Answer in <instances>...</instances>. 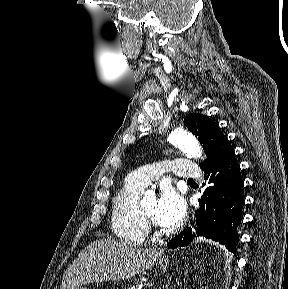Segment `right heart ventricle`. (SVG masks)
I'll list each match as a JSON object with an SVG mask.
<instances>
[{"label":"right heart ventricle","instance_id":"1","mask_svg":"<svg viewBox=\"0 0 288 289\" xmlns=\"http://www.w3.org/2000/svg\"><path fill=\"white\" fill-rule=\"evenodd\" d=\"M143 189L126 180L112 201V232L120 241L130 245L143 244L147 236V228L137 213L138 198Z\"/></svg>","mask_w":288,"mask_h":289}]
</instances>
